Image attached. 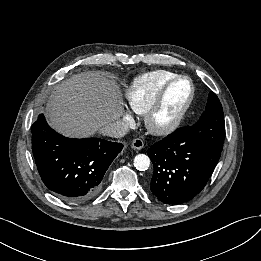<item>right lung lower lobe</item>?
<instances>
[{
  "mask_svg": "<svg viewBox=\"0 0 261 261\" xmlns=\"http://www.w3.org/2000/svg\"><path fill=\"white\" fill-rule=\"evenodd\" d=\"M122 148V143L98 138H66L51 129L42 114L32 125V151L41 179L66 201L93 197Z\"/></svg>",
  "mask_w": 261,
  "mask_h": 261,
  "instance_id": "1",
  "label": "right lung lower lobe"
}]
</instances>
